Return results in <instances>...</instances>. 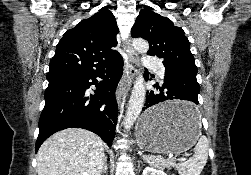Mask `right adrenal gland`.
Here are the masks:
<instances>
[{
	"mask_svg": "<svg viewBox=\"0 0 251 175\" xmlns=\"http://www.w3.org/2000/svg\"><path fill=\"white\" fill-rule=\"evenodd\" d=\"M107 169H108V165H107V163H104L101 173H106V175H107Z\"/></svg>",
	"mask_w": 251,
	"mask_h": 175,
	"instance_id": "2a0ac1e0",
	"label": "right adrenal gland"
}]
</instances>
